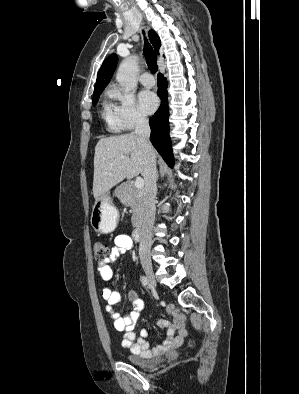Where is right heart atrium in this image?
Returning a JSON list of instances; mask_svg holds the SVG:
<instances>
[{
	"label": "right heart atrium",
	"mask_w": 299,
	"mask_h": 394,
	"mask_svg": "<svg viewBox=\"0 0 299 394\" xmlns=\"http://www.w3.org/2000/svg\"><path fill=\"white\" fill-rule=\"evenodd\" d=\"M109 97L114 101L112 107L121 130H132L146 123L145 114L138 108L131 94L122 92L118 87L112 86L109 90Z\"/></svg>",
	"instance_id": "1"
}]
</instances>
